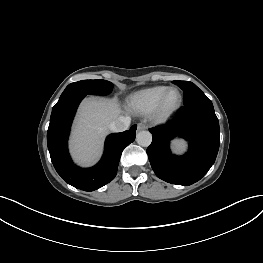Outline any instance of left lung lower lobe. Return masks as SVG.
Here are the masks:
<instances>
[{"label": "left lung lower lobe", "instance_id": "0a47b994", "mask_svg": "<svg viewBox=\"0 0 263 263\" xmlns=\"http://www.w3.org/2000/svg\"><path fill=\"white\" fill-rule=\"evenodd\" d=\"M152 143L147 149L150 164L160 179L188 186L199 181L215 162L219 144V122L207 97L185 104L168 124L149 129ZM189 141V151L173 155L169 142L177 134Z\"/></svg>", "mask_w": 263, "mask_h": 263}]
</instances>
